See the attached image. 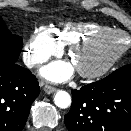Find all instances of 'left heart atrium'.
<instances>
[{
    "mask_svg": "<svg viewBox=\"0 0 131 131\" xmlns=\"http://www.w3.org/2000/svg\"><path fill=\"white\" fill-rule=\"evenodd\" d=\"M74 68L67 62H54L42 70V74L52 81H64L73 74Z\"/></svg>",
    "mask_w": 131,
    "mask_h": 131,
    "instance_id": "left-heart-atrium-1",
    "label": "left heart atrium"
}]
</instances>
